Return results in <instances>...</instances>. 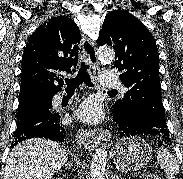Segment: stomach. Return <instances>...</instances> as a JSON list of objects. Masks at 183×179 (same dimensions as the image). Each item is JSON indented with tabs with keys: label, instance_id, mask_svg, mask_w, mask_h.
Masks as SVG:
<instances>
[{
	"label": "stomach",
	"instance_id": "0dacf381",
	"mask_svg": "<svg viewBox=\"0 0 183 179\" xmlns=\"http://www.w3.org/2000/svg\"><path fill=\"white\" fill-rule=\"evenodd\" d=\"M152 148L139 136L124 138L116 143L111 156L117 169L136 171L145 167L150 161Z\"/></svg>",
	"mask_w": 183,
	"mask_h": 179
}]
</instances>
